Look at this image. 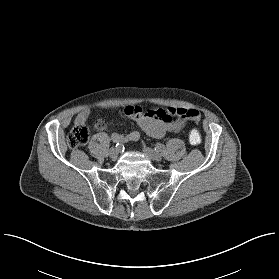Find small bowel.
<instances>
[{
	"label": "small bowel",
	"mask_w": 279,
	"mask_h": 279,
	"mask_svg": "<svg viewBox=\"0 0 279 279\" xmlns=\"http://www.w3.org/2000/svg\"><path fill=\"white\" fill-rule=\"evenodd\" d=\"M124 113L135 120L145 133L155 138H162L167 133H177L183 129L187 121L199 119V113L196 110L174 107L144 110L140 107L126 106ZM89 114V109H83L76 115L74 124L86 125ZM95 128L97 130H104L106 122L104 120H97ZM111 138L120 143H127L138 140L140 133L136 130L128 133L116 132L112 134Z\"/></svg>",
	"instance_id": "obj_1"
}]
</instances>
